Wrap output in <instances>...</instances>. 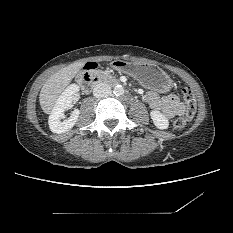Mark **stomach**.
<instances>
[{
  "mask_svg": "<svg viewBox=\"0 0 233 233\" xmlns=\"http://www.w3.org/2000/svg\"><path fill=\"white\" fill-rule=\"evenodd\" d=\"M113 69L136 79L141 85L157 90L160 93L169 92L172 88L170 76L153 64L115 60Z\"/></svg>",
  "mask_w": 233,
  "mask_h": 233,
  "instance_id": "stomach-1",
  "label": "stomach"
}]
</instances>
